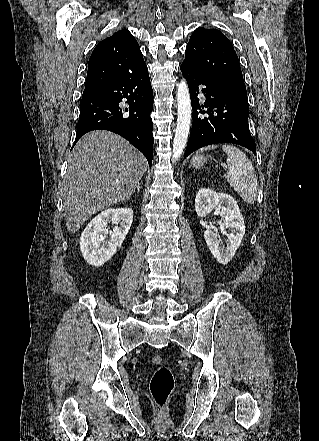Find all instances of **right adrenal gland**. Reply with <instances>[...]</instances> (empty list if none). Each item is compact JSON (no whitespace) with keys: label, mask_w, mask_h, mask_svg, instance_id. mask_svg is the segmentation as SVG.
Returning <instances> with one entry per match:
<instances>
[{"label":"right adrenal gland","mask_w":319,"mask_h":441,"mask_svg":"<svg viewBox=\"0 0 319 441\" xmlns=\"http://www.w3.org/2000/svg\"><path fill=\"white\" fill-rule=\"evenodd\" d=\"M141 186H140V182L137 183V186L134 190V192L137 190V192H140Z\"/></svg>","instance_id":"2a0ac1e0"}]
</instances>
